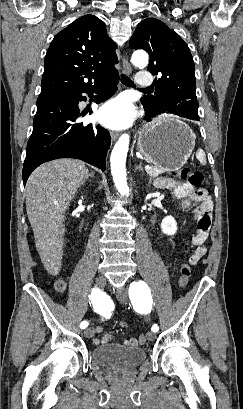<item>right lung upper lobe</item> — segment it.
Wrapping results in <instances>:
<instances>
[{"mask_svg": "<svg viewBox=\"0 0 243 409\" xmlns=\"http://www.w3.org/2000/svg\"><path fill=\"white\" fill-rule=\"evenodd\" d=\"M115 48L102 20L94 15L78 18L48 48L39 98L92 88L118 74Z\"/></svg>", "mask_w": 243, "mask_h": 409, "instance_id": "right-lung-upper-lobe-1", "label": "right lung upper lobe"}]
</instances>
